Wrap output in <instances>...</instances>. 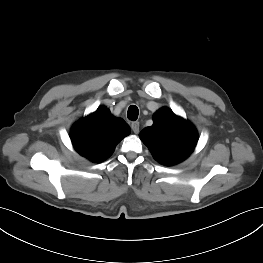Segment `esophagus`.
<instances>
[{
    "label": "esophagus",
    "mask_w": 263,
    "mask_h": 263,
    "mask_svg": "<svg viewBox=\"0 0 263 263\" xmlns=\"http://www.w3.org/2000/svg\"><path fill=\"white\" fill-rule=\"evenodd\" d=\"M131 129L135 134L139 133V122L135 121L131 123Z\"/></svg>",
    "instance_id": "esophagus-1"
}]
</instances>
